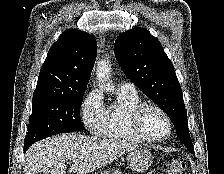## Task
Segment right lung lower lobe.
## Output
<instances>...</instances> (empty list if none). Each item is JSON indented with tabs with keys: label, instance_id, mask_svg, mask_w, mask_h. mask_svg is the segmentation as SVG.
Here are the masks:
<instances>
[{
	"label": "right lung lower lobe",
	"instance_id": "right-lung-lower-lobe-1",
	"mask_svg": "<svg viewBox=\"0 0 224 174\" xmlns=\"http://www.w3.org/2000/svg\"><path fill=\"white\" fill-rule=\"evenodd\" d=\"M29 146H30L29 144L28 145H24V151H26L29 148Z\"/></svg>",
	"mask_w": 224,
	"mask_h": 174
}]
</instances>
